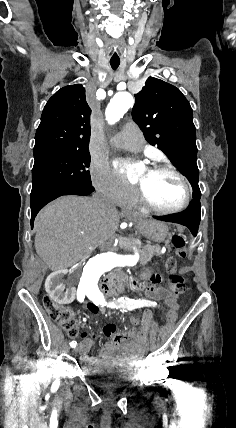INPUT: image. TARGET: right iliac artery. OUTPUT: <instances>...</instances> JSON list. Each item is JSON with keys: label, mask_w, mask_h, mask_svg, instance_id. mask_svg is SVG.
Instances as JSON below:
<instances>
[{"label": "right iliac artery", "mask_w": 236, "mask_h": 428, "mask_svg": "<svg viewBox=\"0 0 236 428\" xmlns=\"http://www.w3.org/2000/svg\"><path fill=\"white\" fill-rule=\"evenodd\" d=\"M84 298H85V293H84V292H77V300H78L79 302H83V301H84ZM76 345H77V342H76V341H72V342L70 343V346H71L72 348H75V347H76Z\"/></svg>", "instance_id": "1"}]
</instances>
